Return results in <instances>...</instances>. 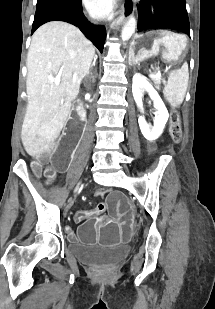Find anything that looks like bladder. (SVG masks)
<instances>
[{"label": "bladder", "instance_id": "bladder-1", "mask_svg": "<svg viewBox=\"0 0 215 309\" xmlns=\"http://www.w3.org/2000/svg\"><path fill=\"white\" fill-rule=\"evenodd\" d=\"M71 254L81 263L92 266H110L120 262L127 254L124 247H98L70 244Z\"/></svg>", "mask_w": 215, "mask_h": 309}]
</instances>
